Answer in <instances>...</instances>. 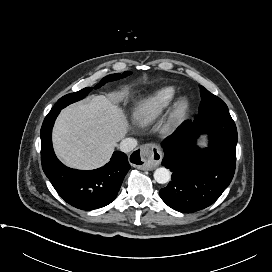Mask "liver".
Segmentation results:
<instances>
[{"label": "liver", "mask_w": 272, "mask_h": 272, "mask_svg": "<svg viewBox=\"0 0 272 272\" xmlns=\"http://www.w3.org/2000/svg\"><path fill=\"white\" fill-rule=\"evenodd\" d=\"M128 129L115 96H93L61 111L53 128V146L67 166L92 170L109 161Z\"/></svg>", "instance_id": "obj_1"}]
</instances>
